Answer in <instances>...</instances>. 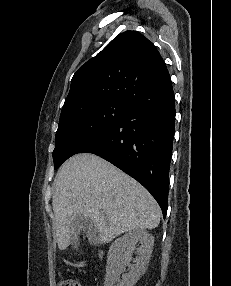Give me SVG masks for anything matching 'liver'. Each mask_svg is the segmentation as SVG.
<instances>
[{"instance_id":"liver-1","label":"liver","mask_w":231,"mask_h":286,"mask_svg":"<svg viewBox=\"0 0 231 286\" xmlns=\"http://www.w3.org/2000/svg\"><path fill=\"white\" fill-rule=\"evenodd\" d=\"M56 240L60 250L73 239V219L89 217L99 232V243L137 229H154L161 210L135 179L101 157L82 153L69 158L55 179L52 198Z\"/></svg>"}]
</instances>
